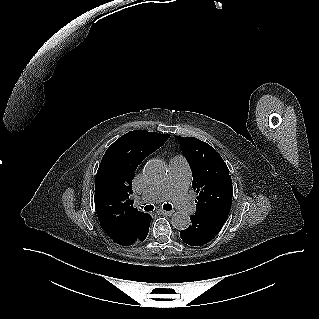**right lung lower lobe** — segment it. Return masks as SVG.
Masks as SVG:
<instances>
[{
    "mask_svg": "<svg viewBox=\"0 0 319 319\" xmlns=\"http://www.w3.org/2000/svg\"><path fill=\"white\" fill-rule=\"evenodd\" d=\"M151 219V216L148 214L144 216L137 224V226L134 228L133 232L127 237L124 246L132 245L134 243H139L143 241L147 237Z\"/></svg>",
    "mask_w": 319,
    "mask_h": 319,
    "instance_id": "obj_1",
    "label": "right lung lower lobe"
}]
</instances>
